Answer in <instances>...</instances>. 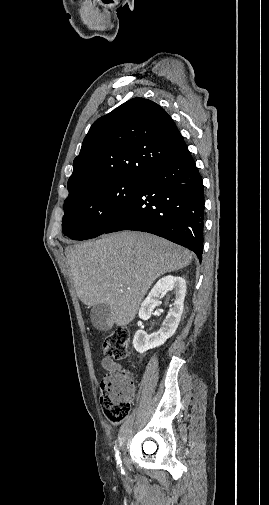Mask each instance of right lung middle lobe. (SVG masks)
I'll return each instance as SVG.
<instances>
[{
    "label": "right lung middle lobe",
    "mask_w": 269,
    "mask_h": 505,
    "mask_svg": "<svg viewBox=\"0 0 269 505\" xmlns=\"http://www.w3.org/2000/svg\"><path fill=\"white\" fill-rule=\"evenodd\" d=\"M139 180H120L88 188L64 202L62 228L74 240L103 234L139 189Z\"/></svg>",
    "instance_id": "obj_1"
}]
</instances>
